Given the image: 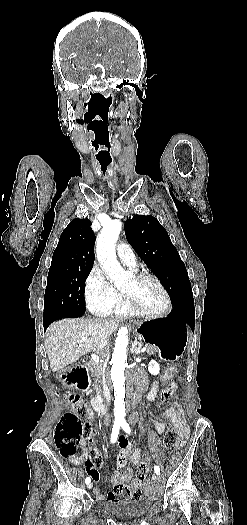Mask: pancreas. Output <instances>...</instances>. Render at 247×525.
<instances>
[{
  "mask_svg": "<svg viewBox=\"0 0 247 525\" xmlns=\"http://www.w3.org/2000/svg\"><path fill=\"white\" fill-rule=\"evenodd\" d=\"M146 352L147 353L151 352V355H158V352H160V347H155V346L148 347V350H146ZM87 367L90 371V375H92L95 381H97V379H99L100 375H102L103 373L104 367L102 363H95V361L89 359L87 363Z\"/></svg>",
  "mask_w": 247,
  "mask_h": 525,
  "instance_id": "cf45deb5",
  "label": "pancreas"
}]
</instances>
